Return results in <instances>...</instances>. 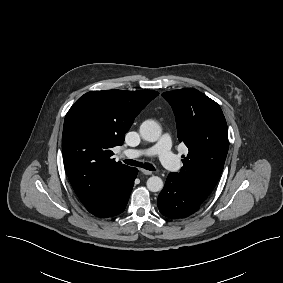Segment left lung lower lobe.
I'll use <instances>...</instances> for the list:
<instances>
[{
  "label": "left lung lower lobe",
  "mask_w": 283,
  "mask_h": 283,
  "mask_svg": "<svg viewBox=\"0 0 283 283\" xmlns=\"http://www.w3.org/2000/svg\"><path fill=\"white\" fill-rule=\"evenodd\" d=\"M201 204L173 173L168 175L158 197V208L162 215L172 219L185 218L196 212Z\"/></svg>",
  "instance_id": "0a47b994"
}]
</instances>
